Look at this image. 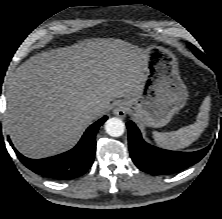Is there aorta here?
Masks as SVG:
<instances>
[{
    "instance_id": "obj_1",
    "label": "aorta",
    "mask_w": 222,
    "mask_h": 219,
    "mask_svg": "<svg viewBox=\"0 0 222 219\" xmlns=\"http://www.w3.org/2000/svg\"><path fill=\"white\" fill-rule=\"evenodd\" d=\"M105 131L112 137H119L125 131V124L119 118H109L105 123Z\"/></svg>"
}]
</instances>
